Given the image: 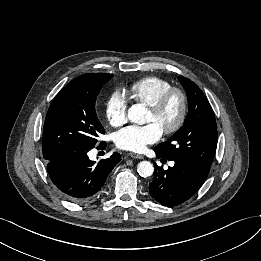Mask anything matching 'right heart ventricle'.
I'll list each match as a JSON object with an SVG mask.
<instances>
[{
  "instance_id": "right-heart-ventricle-1",
  "label": "right heart ventricle",
  "mask_w": 261,
  "mask_h": 261,
  "mask_svg": "<svg viewBox=\"0 0 261 261\" xmlns=\"http://www.w3.org/2000/svg\"><path fill=\"white\" fill-rule=\"evenodd\" d=\"M170 88L172 85L167 80L149 76L135 81L127 93L133 101L150 107Z\"/></svg>"
}]
</instances>
